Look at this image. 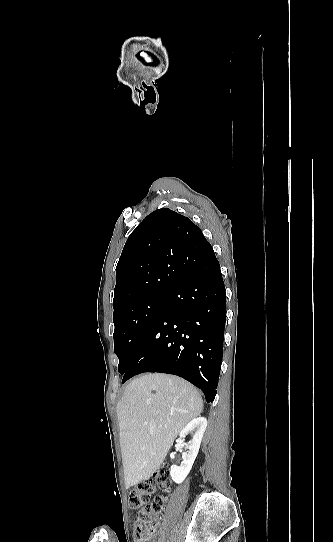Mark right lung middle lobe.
<instances>
[{
	"label": "right lung middle lobe",
	"mask_w": 333,
	"mask_h": 542,
	"mask_svg": "<svg viewBox=\"0 0 333 542\" xmlns=\"http://www.w3.org/2000/svg\"><path fill=\"white\" fill-rule=\"evenodd\" d=\"M168 292L131 305L114 315V352L119 358L118 371L124 374L153 321L167 304Z\"/></svg>",
	"instance_id": "right-lung-middle-lobe-1"
}]
</instances>
